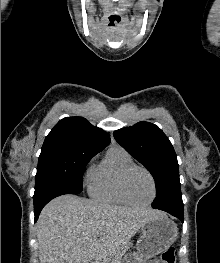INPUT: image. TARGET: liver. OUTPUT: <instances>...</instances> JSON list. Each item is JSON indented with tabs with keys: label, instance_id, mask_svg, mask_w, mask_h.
Instances as JSON below:
<instances>
[{
	"label": "liver",
	"instance_id": "liver-1",
	"mask_svg": "<svg viewBox=\"0 0 220 263\" xmlns=\"http://www.w3.org/2000/svg\"><path fill=\"white\" fill-rule=\"evenodd\" d=\"M151 208L112 206L75 195L50 201L37 221L40 263H120L121 252L149 220Z\"/></svg>",
	"mask_w": 220,
	"mask_h": 263
}]
</instances>
